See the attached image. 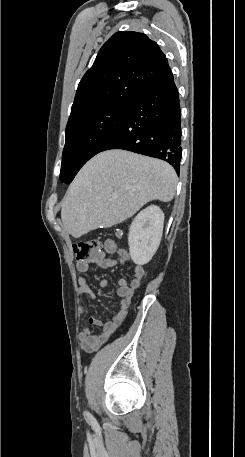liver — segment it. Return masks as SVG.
<instances>
[{
  "mask_svg": "<svg viewBox=\"0 0 245 457\" xmlns=\"http://www.w3.org/2000/svg\"><path fill=\"white\" fill-rule=\"evenodd\" d=\"M177 174L168 162L113 148L90 158L63 200L61 218L69 235L113 226L135 214L149 200H172ZM116 196V198H112Z\"/></svg>",
  "mask_w": 245,
  "mask_h": 457,
  "instance_id": "6515ba94",
  "label": "liver"
}]
</instances>
